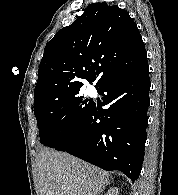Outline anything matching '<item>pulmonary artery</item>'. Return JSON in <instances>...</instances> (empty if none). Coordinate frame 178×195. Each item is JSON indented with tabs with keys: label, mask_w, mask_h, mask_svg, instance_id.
<instances>
[{
	"label": "pulmonary artery",
	"mask_w": 178,
	"mask_h": 195,
	"mask_svg": "<svg viewBox=\"0 0 178 195\" xmlns=\"http://www.w3.org/2000/svg\"><path fill=\"white\" fill-rule=\"evenodd\" d=\"M87 92L89 95H94L96 93V89L93 86L88 87Z\"/></svg>",
	"instance_id": "1"
}]
</instances>
